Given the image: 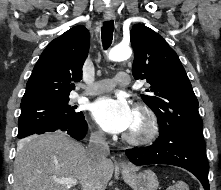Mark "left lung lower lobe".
Listing matches in <instances>:
<instances>
[{
    "mask_svg": "<svg viewBox=\"0 0 221 190\" xmlns=\"http://www.w3.org/2000/svg\"><path fill=\"white\" fill-rule=\"evenodd\" d=\"M160 136L148 147L125 150L135 165L169 164L182 167L194 174L209 190L206 144L187 137L169 127H159Z\"/></svg>",
    "mask_w": 221,
    "mask_h": 190,
    "instance_id": "left-lung-lower-lobe-1",
    "label": "left lung lower lobe"
}]
</instances>
